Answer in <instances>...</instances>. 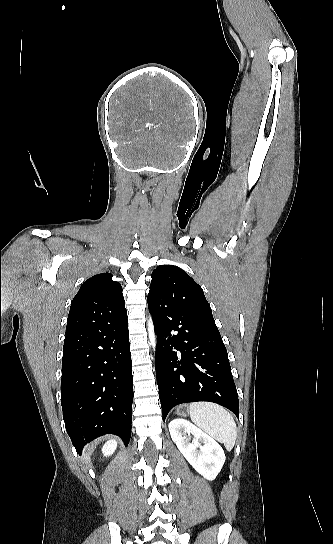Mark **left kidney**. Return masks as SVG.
Returning <instances> with one entry per match:
<instances>
[{
  "label": "left kidney",
  "instance_id": "5707ae66",
  "mask_svg": "<svg viewBox=\"0 0 333 544\" xmlns=\"http://www.w3.org/2000/svg\"><path fill=\"white\" fill-rule=\"evenodd\" d=\"M168 427L172 440L190 465L207 480H214L225 462L219 443L184 419H174Z\"/></svg>",
  "mask_w": 333,
  "mask_h": 544
}]
</instances>
